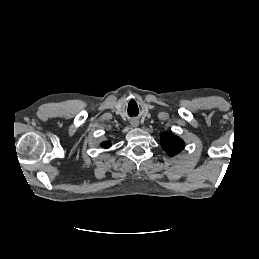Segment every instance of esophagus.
<instances>
[{
  "label": "esophagus",
  "instance_id": "obj_1",
  "mask_svg": "<svg viewBox=\"0 0 259 259\" xmlns=\"http://www.w3.org/2000/svg\"><path fill=\"white\" fill-rule=\"evenodd\" d=\"M132 126H133V127H137V126H138V121H133V122H132Z\"/></svg>",
  "mask_w": 259,
  "mask_h": 259
}]
</instances>
